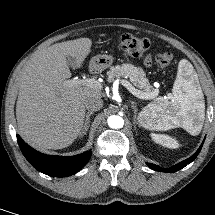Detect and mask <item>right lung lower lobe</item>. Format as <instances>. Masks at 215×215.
Returning a JSON list of instances; mask_svg holds the SVG:
<instances>
[{
	"instance_id": "obj_1",
	"label": "right lung lower lobe",
	"mask_w": 215,
	"mask_h": 215,
	"mask_svg": "<svg viewBox=\"0 0 215 215\" xmlns=\"http://www.w3.org/2000/svg\"><path fill=\"white\" fill-rule=\"evenodd\" d=\"M20 149L29 163L38 171L53 177H67L81 170L91 157V151L75 156L46 155L31 148L17 135Z\"/></svg>"
}]
</instances>
